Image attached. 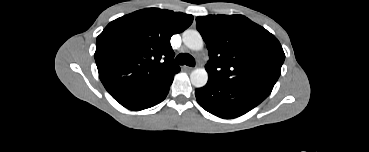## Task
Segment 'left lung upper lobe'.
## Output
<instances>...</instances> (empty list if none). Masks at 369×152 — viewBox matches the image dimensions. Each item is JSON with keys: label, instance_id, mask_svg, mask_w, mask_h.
Segmentation results:
<instances>
[{"label": "left lung upper lobe", "instance_id": "1", "mask_svg": "<svg viewBox=\"0 0 369 152\" xmlns=\"http://www.w3.org/2000/svg\"><path fill=\"white\" fill-rule=\"evenodd\" d=\"M209 52L205 69L223 84L268 96L281 74L284 51L274 35L243 15L196 18Z\"/></svg>", "mask_w": 369, "mask_h": 152}]
</instances>
